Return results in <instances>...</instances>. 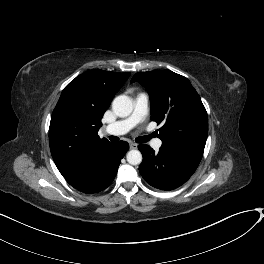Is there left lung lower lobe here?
<instances>
[{
	"label": "left lung lower lobe",
	"instance_id": "left-lung-lower-lobe-1",
	"mask_svg": "<svg viewBox=\"0 0 264 264\" xmlns=\"http://www.w3.org/2000/svg\"><path fill=\"white\" fill-rule=\"evenodd\" d=\"M143 155L139 172L151 186L172 190L184 184L197 169L202 154L183 148L161 146L158 153L148 145L140 144Z\"/></svg>",
	"mask_w": 264,
	"mask_h": 264
}]
</instances>
